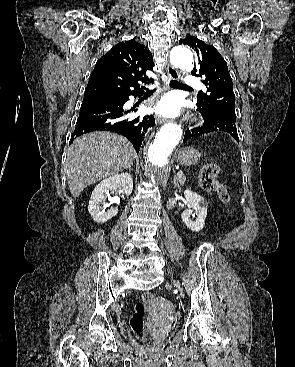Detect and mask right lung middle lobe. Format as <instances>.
<instances>
[{"label":"right lung middle lobe","instance_id":"1","mask_svg":"<svg viewBox=\"0 0 295 367\" xmlns=\"http://www.w3.org/2000/svg\"><path fill=\"white\" fill-rule=\"evenodd\" d=\"M114 97H121L118 95H115L109 91H105L102 89H97V88H93V89H86L85 90V94H84V99H88V98H114Z\"/></svg>","mask_w":295,"mask_h":367}]
</instances>
